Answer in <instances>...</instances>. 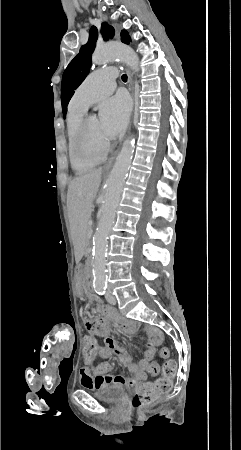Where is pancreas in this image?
I'll list each match as a JSON object with an SVG mask.
<instances>
[{
    "instance_id": "cf45deb5",
    "label": "pancreas",
    "mask_w": 241,
    "mask_h": 450,
    "mask_svg": "<svg viewBox=\"0 0 241 450\" xmlns=\"http://www.w3.org/2000/svg\"><path fill=\"white\" fill-rule=\"evenodd\" d=\"M90 237H92V236H89V232H88V230H87V232H86V241L87 242H90L91 241V238Z\"/></svg>"
}]
</instances>
